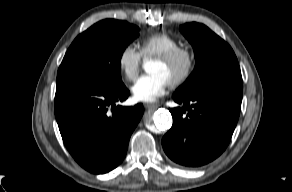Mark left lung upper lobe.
<instances>
[{"instance_id": "left-lung-upper-lobe-1", "label": "left lung upper lobe", "mask_w": 292, "mask_h": 192, "mask_svg": "<svg viewBox=\"0 0 292 192\" xmlns=\"http://www.w3.org/2000/svg\"><path fill=\"white\" fill-rule=\"evenodd\" d=\"M180 31L194 48L196 65L175 95L189 96L217 89L242 91L238 60L228 43L203 24L186 23L180 26Z\"/></svg>"}]
</instances>
